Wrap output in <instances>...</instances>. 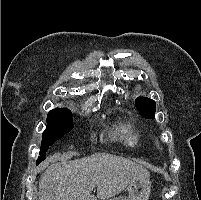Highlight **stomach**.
Returning a JSON list of instances; mask_svg holds the SVG:
<instances>
[{
  "label": "stomach",
  "instance_id": "1",
  "mask_svg": "<svg viewBox=\"0 0 201 200\" xmlns=\"http://www.w3.org/2000/svg\"><path fill=\"white\" fill-rule=\"evenodd\" d=\"M128 195L113 197L110 200H148L151 193L149 179H138L127 187Z\"/></svg>",
  "mask_w": 201,
  "mask_h": 200
}]
</instances>
